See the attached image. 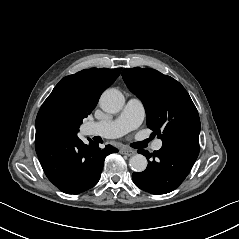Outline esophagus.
I'll use <instances>...</instances> for the list:
<instances>
[{
	"label": "esophagus",
	"mask_w": 239,
	"mask_h": 239,
	"mask_svg": "<svg viewBox=\"0 0 239 239\" xmlns=\"http://www.w3.org/2000/svg\"><path fill=\"white\" fill-rule=\"evenodd\" d=\"M121 153L127 156H133L136 152L134 150L125 149V150H122Z\"/></svg>",
	"instance_id": "obj_1"
}]
</instances>
